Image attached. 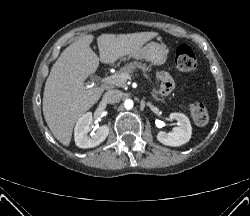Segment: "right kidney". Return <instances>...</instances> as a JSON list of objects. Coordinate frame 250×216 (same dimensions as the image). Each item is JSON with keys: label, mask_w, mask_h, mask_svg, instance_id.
<instances>
[{"label": "right kidney", "mask_w": 250, "mask_h": 216, "mask_svg": "<svg viewBox=\"0 0 250 216\" xmlns=\"http://www.w3.org/2000/svg\"><path fill=\"white\" fill-rule=\"evenodd\" d=\"M92 113L87 112L82 115L76 123L74 129L75 144L79 148H93L101 144L109 134V127L102 125L97 128L96 132L88 136L91 131Z\"/></svg>", "instance_id": "ca27d5eb"}]
</instances>
